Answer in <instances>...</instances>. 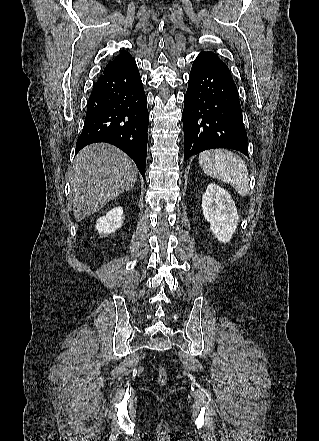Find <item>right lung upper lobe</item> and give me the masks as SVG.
Returning a JSON list of instances; mask_svg holds the SVG:
<instances>
[{
	"mask_svg": "<svg viewBox=\"0 0 319 441\" xmlns=\"http://www.w3.org/2000/svg\"><path fill=\"white\" fill-rule=\"evenodd\" d=\"M134 58L129 54L127 51H121L119 55H117L113 61H110L107 66L105 67L103 74L109 73L113 70L118 69L119 67L123 66L124 64L132 61Z\"/></svg>",
	"mask_w": 319,
	"mask_h": 441,
	"instance_id": "1",
	"label": "right lung upper lobe"
}]
</instances>
